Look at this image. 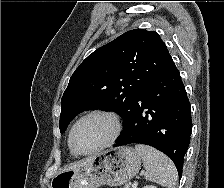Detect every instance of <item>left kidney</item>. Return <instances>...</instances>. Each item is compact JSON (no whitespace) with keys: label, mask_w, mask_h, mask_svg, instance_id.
I'll list each match as a JSON object with an SVG mask.
<instances>
[{"label":"left kidney","mask_w":224,"mask_h":188,"mask_svg":"<svg viewBox=\"0 0 224 188\" xmlns=\"http://www.w3.org/2000/svg\"><path fill=\"white\" fill-rule=\"evenodd\" d=\"M143 188H157V187L153 185H147V186H144Z\"/></svg>","instance_id":"5707ae66"}]
</instances>
